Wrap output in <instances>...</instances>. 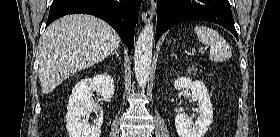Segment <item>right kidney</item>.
Listing matches in <instances>:
<instances>
[{
    "instance_id": "obj_1",
    "label": "right kidney",
    "mask_w": 280,
    "mask_h": 137,
    "mask_svg": "<svg viewBox=\"0 0 280 137\" xmlns=\"http://www.w3.org/2000/svg\"><path fill=\"white\" fill-rule=\"evenodd\" d=\"M97 91L104 99L114 95V81L110 75L100 74L78 82L69 97L66 114V128L70 137H100L103 110L92 100V92ZM91 111H99L96 125L87 123L85 117Z\"/></svg>"
}]
</instances>
